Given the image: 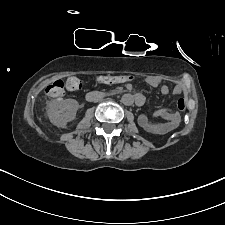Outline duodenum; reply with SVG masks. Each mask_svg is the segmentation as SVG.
Here are the masks:
<instances>
[{"label": "duodenum", "instance_id": "410a0bca", "mask_svg": "<svg viewBox=\"0 0 225 225\" xmlns=\"http://www.w3.org/2000/svg\"><path fill=\"white\" fill-rule=\"evenodd\" d=\"M108 95L107 92H102V91H90L86 94V99L88 101H94V100H99L102 98H105ZM133 100L136 105H142L144 102V98L142 95L135 94L133 95Z\"/></svg>", "mask_w": 225, "mask_h": 225}]
</instances>
